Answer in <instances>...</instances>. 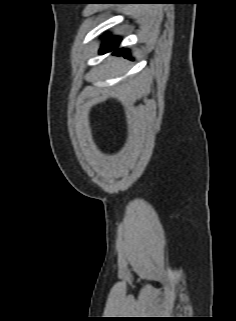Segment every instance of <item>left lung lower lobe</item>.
Masks as SVG:
<instances>
[{"label":"left lung lower lobe","instance_id":"obj_1","mask_svg":"<svg viewBox=\"0 0 236 321\" xmlns=\"http://www.w3.org/2000/svg\"><path fill=\"white\" fill-rule=\"evenodd\" d=\"M121 39L119 37H109L105 40V42L102 44L100 53L104 54L106 52H110L112 50H115V55H123L125 57H128L129 52L128 50L122 49H116L120 43Z\"/></svg>","mask_w":236,"mask_h":321}]
</instances>
